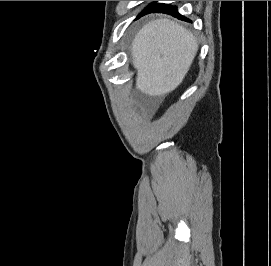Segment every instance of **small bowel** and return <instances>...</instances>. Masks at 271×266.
Returning <instances> with one entry per match:
<instances>
[{"label": "small bowel", "instance_id": "c3829d8e", "mask_svg": "<svg viewBox=\"0 0 271 266\" xmlns=\"http://www.w3.org/2000/svg\"><path fill=\"white\" fill-rule=\"evenodd\" d=\"M154 104H148L147 107L148 108H153Z\"/></svg>", "mask_w": 271, "mask_h": 266}]
</instances>
